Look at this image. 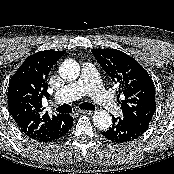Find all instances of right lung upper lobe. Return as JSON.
<instances>
[{
  "mask_svg": "<svg viewBox=\"0 0 174 174\" xmlns=\"http://www.w3.org/2000/svg\"><path fill=\"white\" fill-rule=\"evenodd\" d=\"M64 53L45 50L30 55L10 79L9 111L22 132L34 140L52 136L71 121L70 115H49L42 106V99L49 98L48 74Z\"/></svg>",
  "mask_w": 174,
  "mask_h": 174,
  "instance_id": "1",
  "label": "right lung upper lobe"
}]
</instances>
